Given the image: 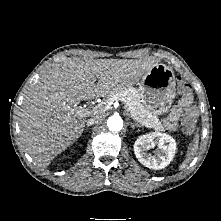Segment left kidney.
Instances as JSON below:
<instances>
[{
	"instance_id": "5707ae66",
	"label": "left kidney",
	"mask_w": 221,
	"mask_h": 221,
	"mask_svg": "<svg viewBox=\"0 0 221 221\" xmlns=\"http://www.w3.org/2000/svg\"><path fill=\"white\" fill-rule=\"evenodd\" d=\"M155 145L158 146L160 152L157 156H152L146 151ZM175 151V140L170 135L159 132L139 136L134 143L136 158L141 164L154 170H160L168 166L174 158Z\"/></svg>"
}]
</instances>
